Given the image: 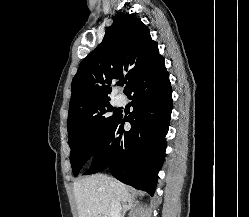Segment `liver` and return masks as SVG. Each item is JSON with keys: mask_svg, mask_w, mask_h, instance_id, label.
<instances>
[{"mask_svg": "<svg viewBox=\"0 0 249 217\" xmlns=\"http://www.w3.org/2000/svg\"><path fill=\"white\" fill-rule=\"evenodd\" d=\"M73 189L79 217H111L113 198L130 201L126 185L103 174L80 179Z\"/></svg>", "mask_w": 249, "mask_h": 217, "instance_id": "liver-1", "label": "liver"}]
</instances>
